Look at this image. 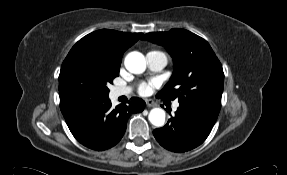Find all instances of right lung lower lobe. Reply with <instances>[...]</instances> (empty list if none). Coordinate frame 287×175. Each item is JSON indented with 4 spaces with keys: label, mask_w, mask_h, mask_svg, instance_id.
<instances>
[{
    "label": "right lung lower lobe",
    "mask_w": 287,
    "mask_h": 175,
    "mask_svg": "<svg viewBox=\"0 0 287 175\" xmlns=\"http://www.w3.org/2000/svg\"><path fill=\"white\" fill-rule=\"evenodd\" d=\"M128 104L111 108V101L106 98L96 105L79 112L65 115V121L77 141L98 151L115 146L123 137L126 121L130 114L142 112L145 101L132 98Z\"/></svg>",
    "instance_id": "right-lung-lower-lobe-1"
}]
</instances>
